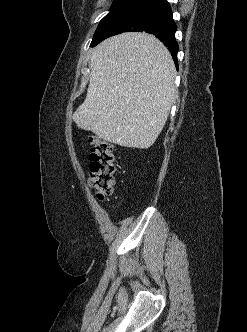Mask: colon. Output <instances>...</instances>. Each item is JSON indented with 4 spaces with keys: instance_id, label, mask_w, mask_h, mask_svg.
<instances>
[{
    "instance_id": "obj_1",
    "label": "colon",
    "mask_w": 247,
    "mask_h": 332,
    "mask_svg": "<svg viewBox=\"0 0 247 332\" xmlns=\"http://www.w3.org/2000/svg\"><path fill=\"white\" fill-rule=\"evenodd\" d=\"M88 142L91 146L89 181L98 199L105 200L112 194L116 182V156L106 140L90 135Z\"/></svg>"
}]
</instances>
